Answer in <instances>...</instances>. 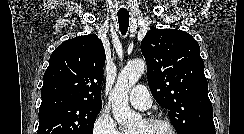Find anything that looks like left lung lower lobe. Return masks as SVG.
<instances>
[{
	"label": "left lung lower lobe",
	"instance_id": "obj_1",
	"mask_svg": "<svg viewBox=\"0 0 244 134\" xmlns=\"http://www.w3.org/2000/svg\"><path fill=\"white\" fill-rule=\"evenodd\" d=\"M193 134H216L215 130H201V131H197Z\"/></svg>",
	"mask_w": 244,
	"mask_h": 134
}]
</instances>
